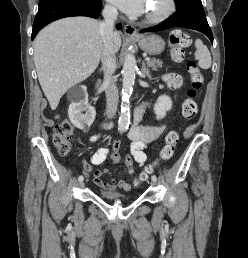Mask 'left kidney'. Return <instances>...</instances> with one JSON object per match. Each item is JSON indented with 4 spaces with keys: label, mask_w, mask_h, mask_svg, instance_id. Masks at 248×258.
Listing matches in <instances>:
<instances>
[{
    "label": "left kidney",
    "mask_w": 248,
    "mask_h": 258,
    "mask_svg": "<svg viewBox=\"0 0 248 258\" xmlns=\"http://www.w3.org/2000/svg\"><path fill=\"white\" fill-rule=\"evenodd\" d=\"M172 108V101L166 95H161L157 99L156 104L154 105V112L156 114L157 120H160L166 116L167 111Z\"/></svg>",
    "instance_id": "left-kidney-1"
}]
</instances>
